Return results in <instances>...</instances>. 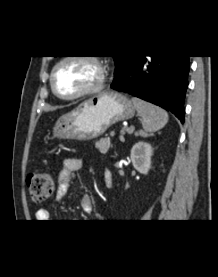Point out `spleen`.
I'll use <instances>...</instances> for the list:
<instances>
[{
  "instance_id": "1",
  "label": "spleen",
  "mask_w": 218,
  "mask_h": 277,
  "mask_svg": "<svg viewBox=\"0 0 218 277\" xmlns=\"http://www.w3.org/2000/svg\"><path fill=\"white\" fill-rule=\"evenodd\" d=\"M132 102L142 119V126L145 132H155L167 124L168 114L162 108L136 97L132 98Z\"/></svg>"
}]
</instances>
